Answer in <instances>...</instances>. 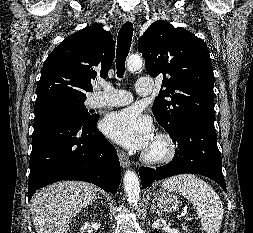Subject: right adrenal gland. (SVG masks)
Returning a JSON list of instances; mask_svg holds the SVG:
<instances>
[{
	"mask_svg": "<svg viewBox=\"0 0 253 233\" xmlns=\"http://www.w3.org/2000/svg\"><path fill=\"white\" fill-rule=\"evenodd\" d=\"M101 199H102V197L98 195V196L95 198L94 202H95L96 200H101Z\"/></svg>",
	"mask_w": 253,
	"mask_h": 233,
	"instance_id": "obj_1",
	"label": "right adrenal gland"
}]
</instances>
